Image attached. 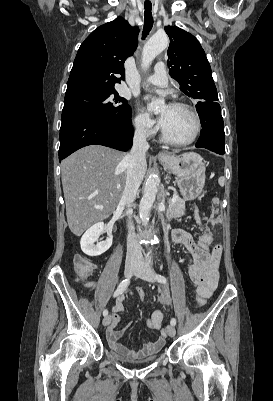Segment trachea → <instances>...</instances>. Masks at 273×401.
I'll return each instance as SVG.
<instances>
[{"label":"trachea","mask_w":273,"mask_h":401,"mask_svg":"<svg viewBox=\"0 0 273 401\" xmlns=\"http://www.w3.org/2000/svg\"><path fill=\"white\" fill-rule=\"evenodd\" d=\"M145 14H144V27H143V38H145L150 30L153 27V18H152V5H144Z\"/></svg>","instance_id":"3493384b"}]
</instances>
